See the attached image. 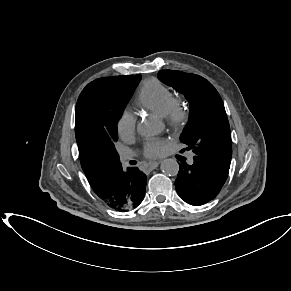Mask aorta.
Listing matches in <instances>:
<instances>
[{"instance_id":"aorta-1","label":"aorta","mask_w":291,"mask_h":291,"mask_svg":"<svg viewBox=\"0 0 291 291\" xmlns=\"http://www.w3.org/2000/svg\"><path fill=\"white\" fill-rule=\"evenodd\" d=\"M137 132L142 136L150 137L156 134V128L150 121L143 120L138 123ZM160 168L164 174L174 176L179 171V164L175 159L169 158L162 161Z\"/></svg>"}]
</instances>
